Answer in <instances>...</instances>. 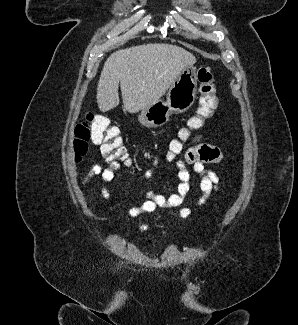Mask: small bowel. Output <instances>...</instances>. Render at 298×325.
Instances as JSON below:
<instances>
[{
    "label": "small bowel",
    "instance_id": "1",
    "mask_svg": "<svg viewBox=\"0 0 298 325\" xmlns=\"http://www.w3.org/2000/svg\"><path fill=\"white\" fill-rule=\"evenodd\" d=\"M222 160V153L220 149L214 145L205 143L200 137H197L195 144L189 147L183 158L175 161V166L178 169V178L180 183L177 187V192L170 195L156 194L153 191L146 193L147 200L140 206H134L128 209L127 214L129 217L135 218L142 213H154L159 216V210L162 208L174 209L182 206L184 197L190 190V172L187 166L190 165L193 171L200 176L199 187L202 192L201 197L198 199L197 204L202 206L205 204L209 196L218 190L219 178L215 172L206 167L207 164H217ZM106 165L95 164L90 171L80 180L82 185L87 184L92 177L100 176L103 181L109 182L113 180L115 173L120 168L118 161H113L106 157ZM160 163L158 157H153L152 166L157 167ZM153 168L146 170L143 173L145 179L153 177ZM101 195L105 200L110 198V194L106 188H102ZM192 210L189 207H182L178 212L172 211V215L181 218L190 216ZM149 230L148 223H142L138 227L139 232H147ZM163 234H167L164 231Z\"/></svg>",
    "mask_w": 298,
    "mask_h": 325
}]
</instances>
